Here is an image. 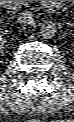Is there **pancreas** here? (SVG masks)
<instances>
[{
  "mask_svg": "<svg viewBox=\"0 0 74 122\" xmlns=\"http://www.w3.org/2000/svg\"><path fill=\"white\" fill-rule=\"evenodd\" d=\"M29 2H31V1H21V3H20V4H22V5H25V6H26V5H28V3H29Z\"/></svg>",
  "mask_w": 74,
  "mask_h": 122,
  "instance_id": "cf45deb5",
  "label": "pancreas"
}]
</instances>
